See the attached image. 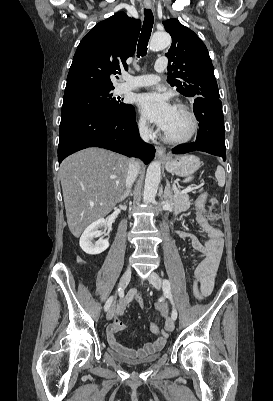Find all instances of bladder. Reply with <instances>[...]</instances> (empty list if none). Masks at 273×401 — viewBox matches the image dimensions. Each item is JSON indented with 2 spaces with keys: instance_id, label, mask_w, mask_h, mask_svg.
<instances>
[{
  "instance_id": "31cf9c89",
  "label": "bladder",
  "mask_w": 273,
  "mask_h": 401,
  "mask_svg": "<svg viewBox=\"0 0 273 401\" xmlns=\"http://www.w3.org/2000/svg\"><path fill=\"white\" fill-rule=\"evenodd\" d=\"M108 353L111 356V358L113 360H115L116 362L124 364V365H128V366L150 365V364L156 362L161 355L160 352H156L144 359L129 360V359H126L125 357H123L122 355L118 354L117 352L113 351L110 348H108Z\"/></svg>"
}]
</instances>
